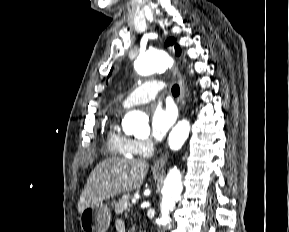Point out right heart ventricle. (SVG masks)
<instances>
[{
	"label": "right heart ventricle",
	"instance_id": "obj_1",
	"mask_svg": "<svg viewBox=\"0 0 289 232\" xmlns=\"http://www.w3.org/2000/svg\"><path fill=\"white\" fill-rule=\"evenodd\" d=\"M107 145L109 151L113 155L132 158L137 155L135 148V140L128 135L122 133L116 124V116H113L110 120L108 133H107Z\"/></svg>",
	"mask_w": 289,
	"mask_h": 232
}]
</instances>
